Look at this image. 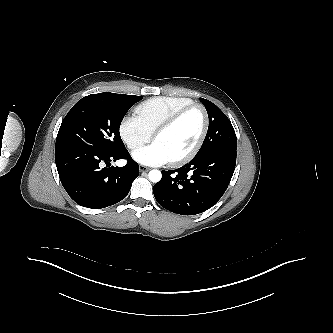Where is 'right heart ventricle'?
Returning <instances> with one entry per match:
<instances>
[{
  "label": "right heart ventricle",
  "mask_w": 333,
  "mask_h": 333,
  "mask_svg": "<svg viewBox=\"0 0 333 333\" xmlns=\"http://www.w3.org/2000/svg\"><path fill=\"white\" fill-rule=\"evenodd\" d=\"M192 103H194V101L187 97H153L139 104L135 112L144 126L153 133L155 129L173 113Z\"/></svg>",
  "instance_id": "e07e8e85"
}]
</instances>
